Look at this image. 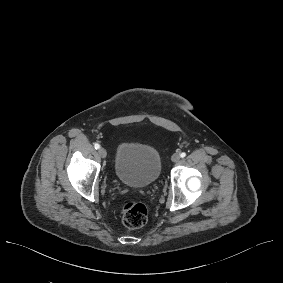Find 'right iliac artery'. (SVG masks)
Wrapping results in <instances>:
<instances>
[{
	"instance_id": "right-iliac-artery-1",
	"label": "right iliac artery",
	"mask_w": 283,
	"mask_h": 283,
	"mask_svg": "<svg viewBox=\"0 0 283 283\" xmlns=\"http://www.w3.org/2000/svg\"><path fill=\"white\" fill-rule=\"evenodd\" d=\"M94 147H95V149H99L100 145L98 143H95Z\"/></svg>"
}]
</instances>
